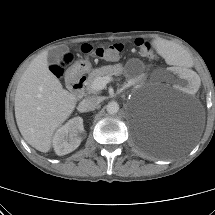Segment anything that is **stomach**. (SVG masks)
Returning a JSON list of instances; mask_svg holds the SVG:
<instances>
[{"instance_id":"obj_1","label":"stomach","mask_w":215,"mask_h":215,"mask_svg":"<svg viewBox=\"0 0 215 215\" xmlns=\"http://www.w3.org/2000/svg\"><path fill=\"white\" fill-rule=\"evenodd\" d=\"M91 63L87 59H81L76 61L74 64V69L79 73H86L91 70Z\"/></svg>"}]
</instances>
